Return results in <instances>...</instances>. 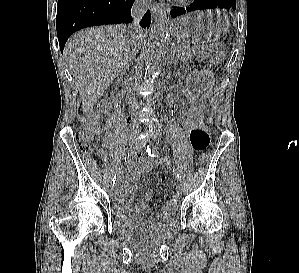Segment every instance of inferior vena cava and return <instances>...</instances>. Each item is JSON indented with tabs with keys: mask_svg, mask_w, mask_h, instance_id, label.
Here are the masks:
<instances>
[{
	"mask_svg": "<svg viewBox=\"0 0 299 273\" xmlns=\"http://www.w3.org/2000/svg\"><path fill=\"white\" fill-rule=\"evenodd\" d=\"M147 3H148L147 0L135 1L131 10V14L135 19L139 20L143 16V14L147 9ZM130 28L136 32L140 30V28L137 25L130 26ZM136 53H137V46L133 40H130L129 59L130 60L133 59L136 56ZM132 108L137 109V103L135 97L133 98Z\"/></svg>",
	"mask_w": 299,
	"mask_h": 273,
	"instance_id": "inferior-vena-cava-1",
	"label": "inferior vena cava"
}]
</instances>
